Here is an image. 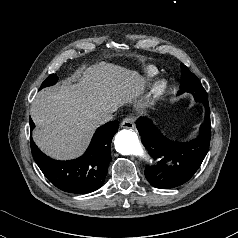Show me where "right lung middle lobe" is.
<instances>
[{
    "mask_svg": "<svg viewBox=\"0 0 238 238\" xmlns=\"http://www.w3.org/2000/svg\"><path fill=\"white\" fill-rule=\"evenodd\" d=\"M58 80V77L56 76V74H51L48 78H46V80L42 83L40 89L47 87V86H51L53 84H55Z\"/></svg>",
    "mask_w": 238,
    "mask_h": 238,
    "instance_id": "1",
    "label": "right lung middle lobe"
}]
</instances>
